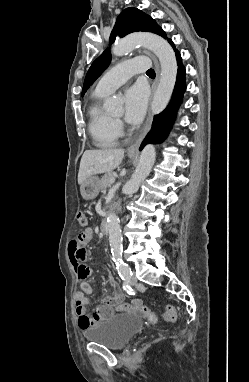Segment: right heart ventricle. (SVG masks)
I'll use <instances>...</instances> for the list:
<instances>
[{
    "label": "right heart ventricle",
    "instance_id": "right-heart-ventricle-1",
    "mask_svg": "<svg viewBox=\"0 0 249 382\" xmlns=\"http://www.w3.org/2000/svg\"><path fill=\"white\" fill-rule=\"evenodd\" d=\"M107 95L95 90L88 107L89 131L95 144L101 148L114 146L120 136L114 118L102 107V101Z\"/></svg>",
    "mask_w": 249,
    "mask_h": 382
}]
</instances>
